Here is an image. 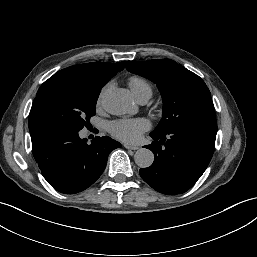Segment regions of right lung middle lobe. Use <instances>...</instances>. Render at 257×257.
Segmentation results:
<instances>
[{"mask_svg":"<svg viewBox=\"0 0 257 257\" xmlns=\"http://www.w3.org/2000/svg\"><path fill=\"white\" fill-rule=\"evenodd\" d=\"M100 87L57 72L39 88L29 114V129L79 132L95 115Z\"/></svg>","mask_w":257,"mask_h":257,"instance_id":"right-lung-middle-lobe-1","label":"right lung middle lobe"}]
</instances>
